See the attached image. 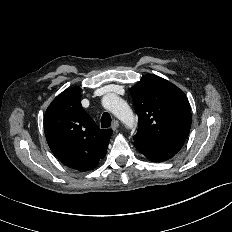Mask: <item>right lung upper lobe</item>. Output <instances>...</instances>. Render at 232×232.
<instances>
[{
	"label": "right lung upper lobe",
	"instance_id": "obj_1",
	"mask_svg": "<svg viewBox=\"0 0 232 232\" xmlns=\"http://www.w3.org/2000/svg\"><path fill=\"white\" fill-rule=\"evenodd\" d=\"M81 88L73 87L57 96L44 117V131L53 154L67 167L92 170L103 159L113 133L99 129L83 110Z\"/></svg>",
	"mask_w": 232,
	"mask_h": 232
}]
</instances>
